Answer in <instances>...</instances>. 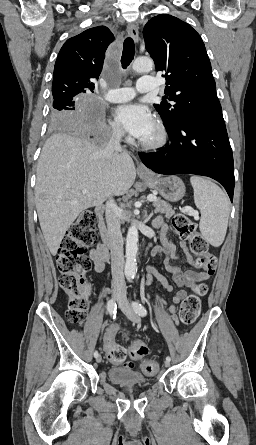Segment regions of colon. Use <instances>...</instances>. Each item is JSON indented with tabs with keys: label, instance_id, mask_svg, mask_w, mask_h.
I'll return each mask as SVG.
<instances>
[{
	"label": "colon",
	"instance_id": "1",
	"mask_svg": "<svg viewBox=\"0 0 256 445\" xmlns=\"http://www.w3.org/2000/svg\"><path fill=\"white\" fill-rule=\"evenodd\" d=\"M97 215L94 209L83 211L69 227L66 236L61 241L57 252V266L60 272L58 283L67 297L66 317L72 323H81L85 317L90 285L85 274L90 269V262L85 256L87 249L96 240ZM172 228L177 236L189 241L191 252L197 257L196 264L211 276L217 265V258L210 251L208 242L199 233L196 224L185 214H176L172 218ZM208 287L205 283H198L193 293L182 302L179 310L180 322L184 325L192 324L201 308V298L206 295ZM108 359L113 363H122L126 358V350L119 344L110 345L107 349ZM148 353L147 346L141 342H134L129 347L132 359H140ZM158 370L154 361L143 364V373L153 376Z\"/></svg>",
	"mask_w": 256,
	"mask_h": 445
}]
</instances>
